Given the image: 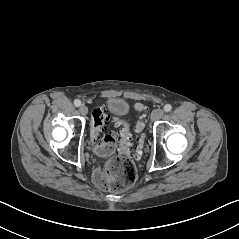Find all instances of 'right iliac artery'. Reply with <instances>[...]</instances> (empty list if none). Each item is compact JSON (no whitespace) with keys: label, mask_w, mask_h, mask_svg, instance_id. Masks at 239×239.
Segmentation results:
<instances>
[{"label":"right iliac artery","mask_w":239,"mask_h":239,"mask_svg":"<svg viewBox=\"0 0 239 239\" xmlns=\"http://www.w3.org/2000/svg\"><path fill=\"white\" fill-rule=\"evenodd\" d=\"M74 105L79 107L81 105V101L79 99L74 100Z\"/></svg>","instance_id":"82829eb1"}]
</instances>
